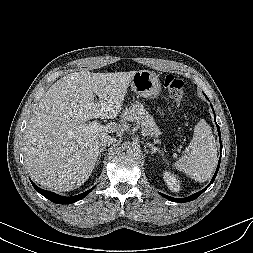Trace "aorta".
<instances>
[{"instance_id":"1","label":"aorta","mask_w":253,"mask_h":253,"mask_svg":"<svg viewBox=\"0 0 253 253\" xmlns=\"http://www.w3.org/2000/svg\"><path fill=\"white\" fill-rule=\"evenodd\" d=\"M141 153V148L139 144L136 143H132L130 145H128L127 147V154L130 156H138Z\"/></svg>"}]
</instances>
